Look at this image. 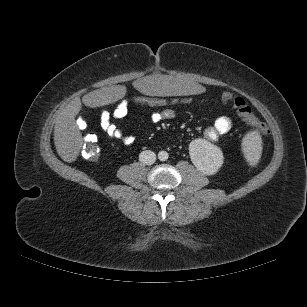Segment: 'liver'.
Listing matches in <instances>:
<instances>
[{
    "label": "liver",
    "instance_id": "liver-1",
    "mask_svg": "<svg viewBox=\"0 0 307 307\" xmlns=\"http://www.w3.org/2000/svg\"><path fill=\"white\" fill-rule=\"evenodd\" d=\"M133 88L136 92L149 98L160 95H195L206 91V84L199 80H179L168 75L138 77ZM126 92L125 86H114L95 90L82 97L70 101L56 118L54 126V144L58 155L65 162L77 159L82 146V134L75 123V117L82 108V102L91 108L108 105L121 99Z\"/></svg>",
    "mask_w": 307,
    "mask_h": 307
}]
</instances>
